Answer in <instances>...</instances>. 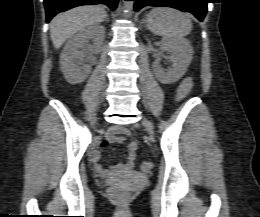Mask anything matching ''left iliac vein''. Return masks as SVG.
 I'll list each match as a JSON object with an SVG mask.
<instances>
[{"label":"left iliac vein","mask_w":260,"mask_h":217,"mask_svg":"<svg viewBox=\"0 0 260 217\" xmlns=\"http://www.w3.org/2000/svg\"><path fill=\"white\" fill-rule=\"evenodd\" d=\"M142 123H143L145 129L148 131V133L152 136L153 135V126L150 123V121H148L146 118H144Z\"/></svg>","instance_id":"1"}]
</instances>
